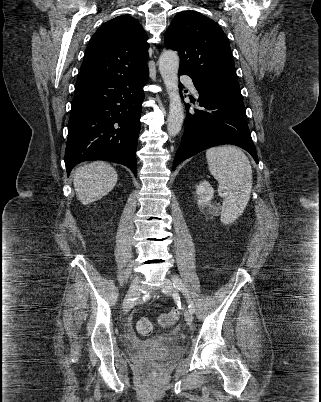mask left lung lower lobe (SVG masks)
Masks as SVG:
<instances>
[{
    "label": "left lung lower lobe",
    "mask_w": 321,
    "mask_h": 402,
    "mask_svg": "<svg viewBox=\"0 0 321 402\" xmlns=\"http://www.w3.org/2000/svg\"><path fill=\"white\" fill-rule=\"evenodd\" d=\"M193 83L199 93V105L203 108L194 109L191 113L187 109L186 128L175 155L173 170L196 153L222 144L245 149L258 163L239 84L222 81Z\"/></svg>",
    "instance_id": "obj_1"
}]
</instances>
